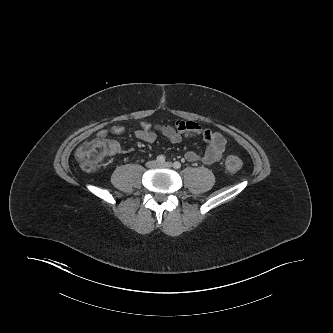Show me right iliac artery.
Returning <instances> with one entry per match:
<instances>
[{"label":"right iliac artery","instance_id":"1","mask_svg":"<svg viewBox=\"0 0 333 333\" xmlns=\"http://www.w3.org/2000/svg\"><path fill=\"white\" fill-rule=\"evenodd\" d=\"M156 161L160 164L165 163V156H163V155L157 156Z\"/></svg>","mask_w":333,"mask_h":333}]
</instances>
